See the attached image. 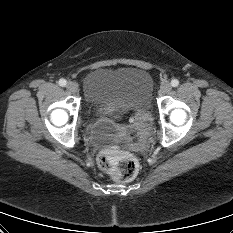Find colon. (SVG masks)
<instances>
[{
    "label": "colon",
    "instance_id": "colon-1",
    "mask_svg": "<svg viewBox=\"0 0 233 233\" xmlns=\"http://www.w3.org/2000/svg\"><path fill=\"white\" fill-rule=\"evenodd\" d=\"M135 128L142 140L146 139L147 120L139 115L134 120ZM97 164L101 170L117 181L132 180L138 171L136 160L116 150H106L99 154Z\"/></svg>",
    "mask_w": 233,
    "mask_h": 233
}]
</instances>
